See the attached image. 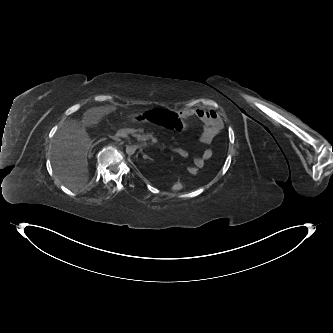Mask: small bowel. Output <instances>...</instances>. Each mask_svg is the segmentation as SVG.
Wrapping results in <instances>:
<instances>
[{
	"label": "small bowel",
	"mask_w": 333,
	"mask_h": 333,
	"mask_svg": "<svg viewBox=\"0 0 333 333\" xmlns=\"http://www.w3.org/2000/svg\"><path fill=\"white\" fill-rule=\"evenodd\" d=\"M177 116L179 117V123L181 122V118L185 117L200 119L205 124V128L200 139L203 143L206 144H209L215 138V136H217L222 127L221 120L217 115V112L213 109H203L198 107L185 110L181 114H177ZM175 152L181 157L188 156L187 151L183 148H176ZM212 156V149H206L201 155L194 158V168L196 169L204 167L205 163L211 159Z\"/></svg>",
	"instance_id": "1"
}]
</instances>
